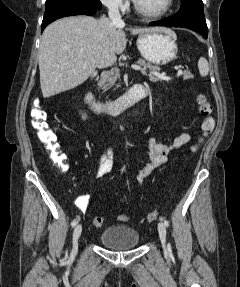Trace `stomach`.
<instances>
[{
  "mask_svg": "<svg viewBox=\"0 0 240 287\" xmlns=\"http://www.w3.org/2000/svg\"><path fill=\"white\" fill-rule=\"evenodd\" d=\"M177 36L171 29L141 33L137 38V48L141 56L150 63L165 65L176 58Z\"/></svg>",
  "mask_w": 240,
  "mask_h": 287,
  "instance_id": "1",
  "label": "stomach"
}]
</instances>
